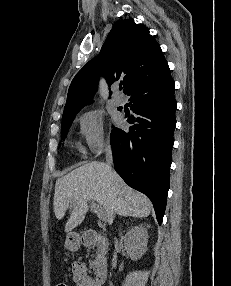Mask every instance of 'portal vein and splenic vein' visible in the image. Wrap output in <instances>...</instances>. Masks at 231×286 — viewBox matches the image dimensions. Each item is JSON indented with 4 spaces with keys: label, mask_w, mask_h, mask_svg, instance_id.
Wrapping results in <instances>:
<instances>
[{
    "label": "portal vein and splenic vein",
    "mask_w": 231,
    "mask_h": 286,
    "mask_svg": "<svg viewBox=\"0 0 231 286\" xmlns=\"http://www.w3.org/2000/svg\"><path fill=\"white\" fill-rule=\"evenodd\" d=\"M91 208L97 214V216H98V218L100 220H105V212H104V209L101 206H99L95 202H91Z\"/></svg>",
    "instance_id": "18ae733b"
}]
</instances>
